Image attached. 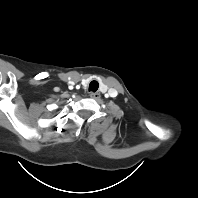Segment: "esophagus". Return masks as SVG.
I'll return each mask as SVG.
<instances>
[{
    "instance_id": "34e87169",
    "label": "esophagus",
    "mask_w": 198,
    "mask_h": 198,
    "mask_svg": "<svg viewBox=\"0 0 198 198\" xmlns=\"http://www.w3.org/2000/svg\"><path fill=\"white\" fill-rule=\"evenodd\" d=\"M90 97L93 98V99L98 100L100 98V93H98V92H91L90 93Z\"/></svg>"
}]
</instances>
